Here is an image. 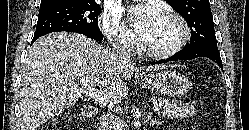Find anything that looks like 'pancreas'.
Masks as SVG:
<instances>
[{
    "mask_svg": "<svg viewBox=\"0 0 249 130\" xmlns=\"http://www.w3.org/2000/svg\"><path fill=\"white\" fill-rule=\"evenodd\" d=\"M158 102L162 107L159 114L167 118L183 119L192 116L195 112L194 106H189L182 102L171 101L165 98H159Z\"/></svg>",
    "mask_w": 249,
    "mask_h": 130,
    "instance_id": "cf45deb5",
    "label": "pancreas"
}]
</instances>
